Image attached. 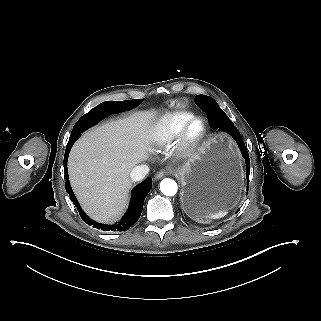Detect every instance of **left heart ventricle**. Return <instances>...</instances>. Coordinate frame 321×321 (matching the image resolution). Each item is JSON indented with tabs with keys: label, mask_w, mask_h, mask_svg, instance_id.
Returning <instances> with one entry per match:
<instances>
[{
	"label": "left heart ventricle",
	"mask_w": 321,
	"mask_h": 321,
	"mask_svg": "<svg viewBox=\"0 0 321 321\" xmlns=\"http://www.w3.org/2000/svg\"><path fill=\"white\" fill-rule=\"evenodd\" d=\"M198 132H199V124L196 123L190 128L188 134L190 137H194Z\"/></svg>",
	"instance_id": "1"
}]
</instances>
